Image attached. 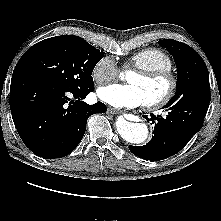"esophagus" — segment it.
Returning <instances> with one entry per match:
<instances>
[{
    "instance_id": "obj_1",
    "label": "esophagus",
    "mask_w": 221,
    "mask_h": 221,
    "mask_svg": "<svg viewBox=\"0 0 221 221\" xmlns=\"http://www.w3.org/2000/svg\"><path fill=\"white\" fill-rule=\"evenodd\" d=\"M108 113H110V114H120V113H123V111L110 107V108H108Z\"/></svg>"
}]
</instances>
